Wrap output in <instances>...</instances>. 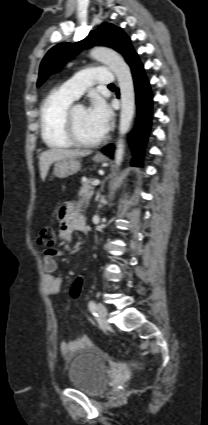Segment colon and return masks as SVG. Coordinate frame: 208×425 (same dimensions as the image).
<instances>
[{
  "label": "colon",
  "instance_id": "colon-1",
  "mask_svg": "<svg viewBox=\"0 0 208 425\" xmlns=\"http://www.w3.org/2000/svg\"><path fill=\"white\" fill-rule=\"evenodd\" d=\"M56 242V234L53 228L51 227H44L39 235L38 238V244L42 247H45L47 249H51ZM83 289V279L82 277H77L75 281L73 282L71 289H70V295L73 299H78L81 296Z\"/></svg>",
  "mask_w": 208,
  "mask_h": 425
}]
</instances>
